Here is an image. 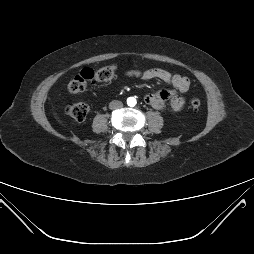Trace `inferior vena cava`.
<instances>
[{"mask_svg": "<svg viewBox=\"0 0 254 254\" xmlns=\"http://www.w3.org/2000/svg\"><path fill=\"white\" fill-rule=\"evenodd\" d=\"M123 107V103L121 101L118 100H113L109 103V108L111 110H116V109H120Z\"/></svg>", "mask_w": 254, "mask_h": 254, "instance_id": "obj_1", "label": "inferior vena cava"}]
</instances>
